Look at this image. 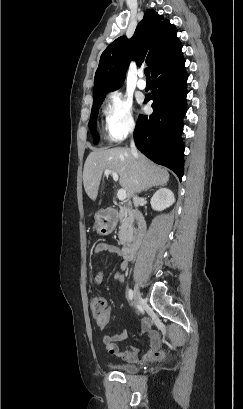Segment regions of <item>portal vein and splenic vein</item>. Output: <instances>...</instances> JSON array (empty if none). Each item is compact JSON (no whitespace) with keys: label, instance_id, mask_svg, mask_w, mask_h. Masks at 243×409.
<instances>
[{"label":"portal vein and splenic vein","instance_id":"1","mask_svg":"<svg viewBox=\"0 0 243 409\" xmlns=\"http://www.w3.org/2000/svg\"><path fill=\"white\" fill-rule=\"evenodd\" d=\"M104 174H105L106 176L112 175L114 181H115V182L118 181V178H119V177H118V174H117L115 171H112V170H110V169H106V170L104 171ZM117 197H118V199H119L120 201H124V200L126 199V197H127L126 191H125L124 189H119L118 192H117Z\"/></svg>","mask_w":243,"mask_h":409}]
</instances>
